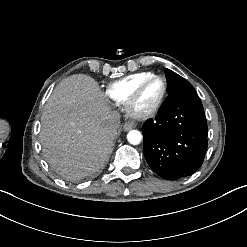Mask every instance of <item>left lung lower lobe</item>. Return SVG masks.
<instances>
[{
  "label": "left lung lower lobe",
  "instance_id": "obj_1",
  "mask_svg": "<svg viewBox=\"0 0 247 247\" xmlns=\"http://www.w3.org/2000/svg\"><path fill=\"white\" fill-rule=\"evenodd\" d=\"M150 168L169 180L193 174L207 149V121L199 97L174 99L160 107L142 128Z\"/></svg>",
  "mask_w": 247,
  "mask_h": 247
}]
</instances>
